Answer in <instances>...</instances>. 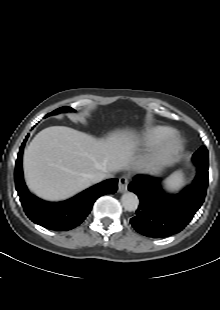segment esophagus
Segmentation results:
<instances>
[{
	"label": "esophagus",
	"instance_id": "obj_1",
	"mask_svg": "<svg viewBox=\"0 0 220 310\" xmlns=\"http://www.w3.org/2000/svg\"><path fill=\"white\" fill-rule=\"evenodd\" d=\"M127 187H128V178L126 176L120 177L118 182V191L120 193H123L127 191Z\"/></svg>",
	"mask_w": 220,
	"mask_h": 310
}]
</instances>
